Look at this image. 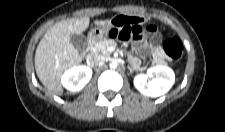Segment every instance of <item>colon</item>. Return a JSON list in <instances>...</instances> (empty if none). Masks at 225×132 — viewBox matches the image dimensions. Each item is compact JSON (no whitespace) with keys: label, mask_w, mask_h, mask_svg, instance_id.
<instances>
[{"label":"colon","mask_w":225,"mask_h":132,"mask_svg":"<svg viewBox=\"0 0 225 132\" xmlns=\"http://www.w3.org/2000/svg\"><path fill=\"white\" fill-rule=\"evenodd\" d=\"M144 30L149 31L150 27L144 28L142 25L118 26L113 28L110 34L123 41L139 40L142 38ZM163 50L168 58L179 61L182 57V42L178 37H168L163 42Z\"/></svg>","instance_id":"colon-1"}]
</instances>
